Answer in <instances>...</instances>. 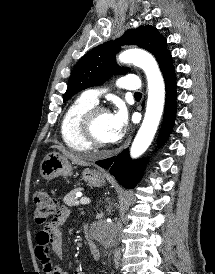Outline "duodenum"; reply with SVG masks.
I'll use <instances>...</instances> for the list:
<instances>
[{
    "instance_id": "1",
    "label": "duodenum",
    "mask_w": 215,
    "mask_h": 274,
    "mask_svg": "<svg viewBox=\"0 0 215 274\" xmlns=\"http://www.w3.org/2000/svg\"><path fill=\"white\" fill-rule=\"evenodd\" d=\"M86 239H87V244H88L89 250H90L93 258L95 260H99L100 259V250H99L98 246L95 244L92 236L89 233H87Z\"/></svg>"
}]
</instances>
